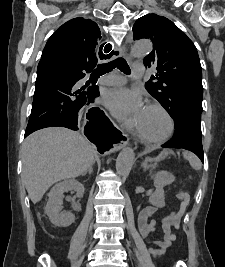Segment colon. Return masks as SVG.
<instances>
[{"label": "colon", "mask_w": 225, "mask_h": 267, "mask_svg": "<svg viewBox=\"0 0 225 267\" xmlns=\"http://www.w3.org/2000/svg\"><path fill=\"white\" fill-rule=\"evenodd\" d=\"M182 206H183V207L187 206V205H186V200H185V199L182 201Z\"/></svg>", "instance_id": "obj_1"}]
</instances>
